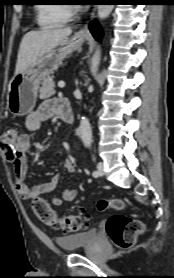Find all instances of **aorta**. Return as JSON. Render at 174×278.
<instances>
[{
  "label": "aorta",
  "mask_w": 174,
  "mask_h": 278,
  "mask_svg": "<svg viewBox=\"0 0 174 278\" xmlns=\"http://www.w3.org/2000/svg\"><path fill=\"white\" fill-rule=\"evenodd\" d=\"M113 5H98V17L100 19L107 18L112 12ZM100 61V51L97 50L91 59V72L95 75ZM80 137L85 147H90L92 143V130L89 120L82 117L80 121Z\"/></svg>",
  "instance_id": "aorta-1"
}]
</instances>
